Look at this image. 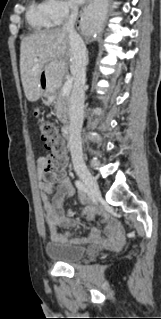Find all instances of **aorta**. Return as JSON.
<instances>
[{"instance_id":"aorta-1","label":"aorta","mask_w":161,"mask_h":319,"mask_svg":"<svg viewBox=\"0 0 161 319\" xmlns=\"http://www.w3.org/2000/svg\"><path fill=\"white\" fill-rule=\"evenodd\" d=\"M89 25H90V29L93 30V31L96 30L97 26H98L97 22H94L93 20H90V19H89Z\"/></svg>"}]
</instances>
